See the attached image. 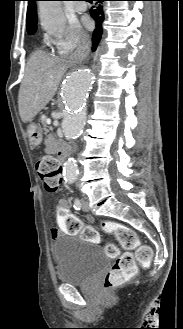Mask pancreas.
<instances>
[{
    "label": "pancreas",
    "mask_w": 183,
    "mask_h": 329,
    "mask_svg": "<svg viewBox=\"0 0 183 329\" xmlns=\"http://www.w3.org/2000/svg\"><path fill=\"white\" fill-rule=\"evenodd\" d=\"M41 123H42V125H43V130H44L46 133H48L50 130L48 129V126H47V124H46V117H44V118L41 119Z\"/></svg>",
    "instance_id": "pancreas-1"
}]
</instances>
